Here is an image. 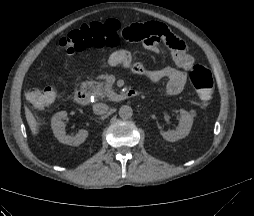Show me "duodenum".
I'll return each mask as SVG.
<instances>
[{"instance_id": "410a0bca", "label": "duodenum", "mask_w": 254, "mask_h": 216, "mask_svg": "<svg viewBox=\"0 0 254 216\" xmlns=\"http://www.w3.org/2000/svg\"><path fill=\"white\" fill-rule=\"evenodd\" d=\"M138 95H139L138 91L130 89V90L120 92V93H117V92L113 93L111 95V100L112 101H120V100H123L127 97H136ZM74 97H75V101L80 105H87L90 102V95H89L88 91L85 89H78L75 92Z\"/></svg>"}]
</instances>
